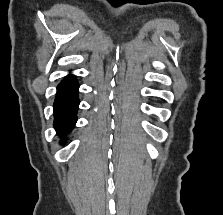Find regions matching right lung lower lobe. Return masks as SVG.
I'll return each mask as SVG.
<instances>
[{
  "label": "right lung lower lobe",
  "mask_w": 223,
  "mask_h": 215,
  "mask_svg": "<svg viewBox=\"0 0 223 215\" xmlns=\"http://www.w3.org/2000/svg\"><path fill=\"white\" fill-rule=\"evenodd\" d=\"M78 88L79 84L73 76L66 77L57 87L54 127L61 137L69 133L77 121Z\"/></svg>",
  "instance_id": "right-lung-lower-lobe-1"
}]
</instances>
